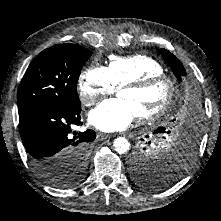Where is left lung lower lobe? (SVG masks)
<instances>
[{"instance_id": "left-lung-lower-lobe-1", "label": "left lung lower lobe", "mask_w": 221, "mask_h": 221, "mask_svg": "<svg viewBox=\"0 0 221 221\" xmlns=\"http://www.w3.org/2000/svg\"><path fill=\"white\" fill-rule=\"evenodd\" d=\"M187 133L183 137L182 142L177 146L176 153L173 154L174 157L180 159V165L175 171V177L172 179L168 185L174 183L178 180L185 172V166L187 163L194 157L195 151L198 145V140L201 133V122L200 119L195 118L194 116L190 117ZM157 134L169 133L164 127L156 129Z\"/></svg>"}]
</instances>
